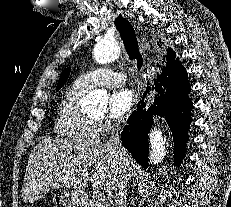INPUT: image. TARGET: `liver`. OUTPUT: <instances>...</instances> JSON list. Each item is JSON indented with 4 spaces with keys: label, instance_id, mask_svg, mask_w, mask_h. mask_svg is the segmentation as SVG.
I'll return each instance as SVG.
<instances>
[{
    "label": "liver",
    "instance_id": "1",
    "mask_svg": "<svg viewBox=\"0 0 231 207\" xmlns=\"http://www.w3.org/2000/svg\"><path fill=\"white\" fill-rule=\"evenodd\" d=\"M126 158L125 180L128 181L133 172L128 154ZM118 167L119 159L107 143L46 138L29 156L22 187L23 201L33 203L51 188L81 189L88 181L94 188L114 196Z\"/></svg>",
    "mask_w": 231,
    "mask_h": 207
}]
</instances>
